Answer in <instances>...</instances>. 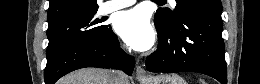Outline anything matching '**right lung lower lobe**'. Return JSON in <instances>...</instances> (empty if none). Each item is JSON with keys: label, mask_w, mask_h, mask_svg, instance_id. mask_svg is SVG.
<instances>
[{"label": "right lung lower lobe", "mask_w": 260, "mask_h": 84, "mask_svg": "<svg viewBox=\"0 0 260 84\" xmlns=\"http://www.w3.org/2000/svg\"><path fill=\"white\" fill-rule=\"evenodd\" d=\"M134 63V58L120 48L117 36L111 31L106 42L74 45L51 64L46 65L45 84H54L65 74L85 67L121 69L131 75Z\"/></svg>", "instance_id": "right-lung-lower-lobe-1"}]
</instances>
